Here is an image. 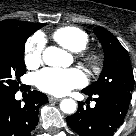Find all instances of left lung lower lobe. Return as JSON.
Masks as SVG:
<instances>
[{"label":"left lung lower lobe","instance_id":"0a47b994","mask_svg":"<svg viewBox=\"0 0 136 136\" xmlns=\"http://www.w3.org/2000/svg\"><path fill=\"white\" fill-rule=\"evenodd\" d=\"M83 93L89 99L95 97L94 108L78 103V111L66 118L68 125L81 136H110L123 123L132 98L131 92L108 91L91 94Z\"/></svg>","mask_w":136,"mask_h":136}]
</instances>
